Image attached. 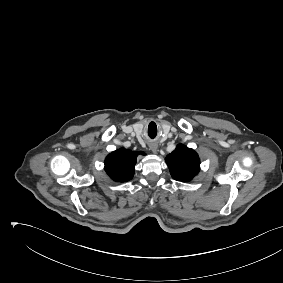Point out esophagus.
Returning <instances> with one entry per match:
<instances>
[{
	"mask_svg": "<svg viewBox=\"0 0 283 283\" xmlns=\"http://www.w3.org/2000/svg\"><path fill=\"white\" fill-rule=\"evenodd\" d=\"M150 150L154 153H156L158 151V145L153 143L150 145Z\"/></svg>",
	"mask_w": 283,
	"mask_h": 283,
	"instance_id": "34e87169",
	"label": "esophagus"
}]
</instances>
